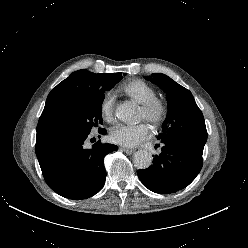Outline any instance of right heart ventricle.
<instances>
[{"label":"right heart ventricle","mask_w":248,"mask_h":248,"mask_svg":"<svg viewBox=\"0 0 248 248\" xmlns=\"http://www.w3.org/2000/svg\"><path fill=\"white\" fill-rule=\"evenodd\" d=\"M121 90L133 101L142 104L156 97L155 89L148 83L135 79L121 86Z\"/></svg>","instance_id":"e07e8e85"}]
</instances>
